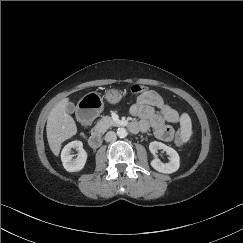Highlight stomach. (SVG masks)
Instances as JSON below:
<instances>
[{
  "label": "stomach",
  "instance_id": "1",
  "mask_svg": "<svg viewBox=\"0 0 243 243\" xmlns=\"http://www.w3.org/2000/svg\"><path fill=\"white\" fill-rule=\"evenodd\" d=\"M122 97L121 91L112 88L107 90L104 95V98L111 104L119 103ZM78 106L80 111L88 110L96 116L103 111V97L96 92H90L81 98L78 102Z\"/></svg>",
  "mask_w": 243,
  "mask_h": 243
}]
</instances>
